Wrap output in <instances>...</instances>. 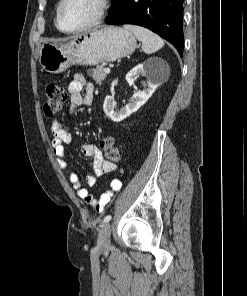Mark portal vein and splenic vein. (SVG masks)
<instances>
[{
    "label": "portal vein and splenic vein",
    "instance_id": "18ae733b",
    "mask_svg": "<svg viewBox=\"0 0 247 296\" xmlns=\"http://www.w3.org/2000/svg\"><path fill=\"white\" fill-rule=\"evenodd\" d=\"M104 72L107 73V74L110 73V68H105Z\"/></svg>",
    "mask_w": 247,
    "mask_h": 296
}]
</instances>
